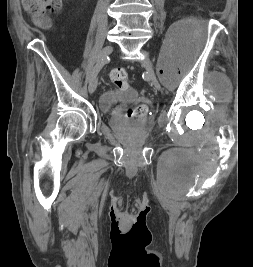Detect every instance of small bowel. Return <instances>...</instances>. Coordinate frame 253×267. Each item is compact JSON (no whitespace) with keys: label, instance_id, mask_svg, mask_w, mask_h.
Listing matches in <instances>:
<instances>
[{"label":"small bowel","instance_id":"small-bowel-1","mask_svg":"<svg viewBox=\"0 0 253 267\" xmlns=\"http://www.w3.org/2000/svg\"><path fill=\"white\" fill-rule=\"evenodd\" d=\"M32 22L35 26L49 31L52 28V20L49 16H32Z\"/></svg>","mask_w":253,"mask_h":267}]
</instances>
